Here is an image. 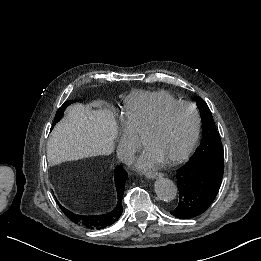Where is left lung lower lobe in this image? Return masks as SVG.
Wrapping results in <instances>:
<instances>
[{
    "label": "left lung lower lobe",
    "mask_w": 261,
    "mask_h": 261,
    "mask_svg": "<svg viewBox=\"0 0 261 261\" xmlns=\"http://www.w3.org/2000/svg\"><path fill=\"white\" fill-rule=\"evenodd\" d=\"M224 159L213 156L191 157L176 173L178 205L170 211L179 219L203 214L212 204L221 186Z\"/></svg>",
    "instance_id": "0a47b994"
}]
</instances>
